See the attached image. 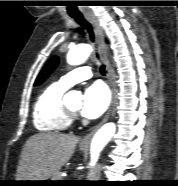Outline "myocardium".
I'll return each instance as SVG.
<instances>
[{
    "mask_svg": "<svg viewBox=\"0 0 178 186\" xmlns=\"http://www.w3.org/2000/svg\"><path fill=\"white\" fill-rule=\"evenodd\" d=\"M64 114L68 119L69 123L73 122L77 118V113L70 110L67 106L64 105Z\"/></svg>",
    "mask_w": 178,
    "mask_h": 186,
    "instance_id": "1",
    "label": "myocardium"
}]
</instances>
